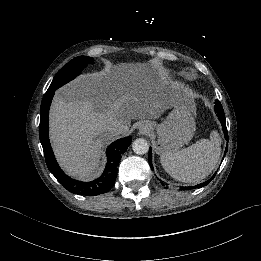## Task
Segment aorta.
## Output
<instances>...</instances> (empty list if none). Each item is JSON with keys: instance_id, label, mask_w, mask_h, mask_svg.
<instances>
[{"instance_id": "1", "label": "aorta", "mask_w": 261, "mask_h": 261, "mask_svg": "<svg viewBox=\"0 0 261 261\" xmlns=\"http://www.w3.org/2000/svg\"><path fill=\"white\" fill-rule=\"evenodd\" d=\"M132 150L137 155H144L149 151V144L143 138H138L132 143Z\"/></svg>"}]
</instances>
